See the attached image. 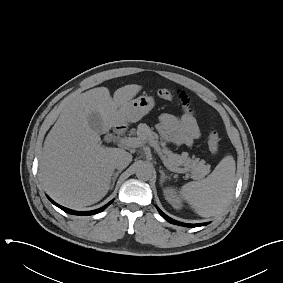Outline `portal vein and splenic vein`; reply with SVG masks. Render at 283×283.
Segmentation results:
<instances>
[{"label": "portal vein and splenic vein", "mask_w": 283, "mask_h": 283, "mask_svg": "<svg viewBox=\"0 0 283 283\" xmlns=\"http://www.w3.org/2000/svg\"><path fill=\"white\" fill-rule=\"evenodd\" d=\"M120 144L124 145V146H128V147L138 148V147L142 146L143 143L138 138L126 137V138H122L120 140ZM150 145L157 151L158 155L163 160L162 151H161L159 144L156 141H150ZM171 170L175 171V172H179V173L187 172V170L184 169V168L171 169Z\"/></svg>", "instance_id": "1"}]
</instances>
